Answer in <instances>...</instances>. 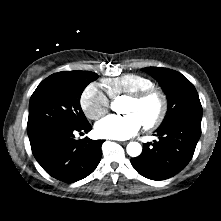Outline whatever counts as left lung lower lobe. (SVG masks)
Segmentation results:
<instances>
[{
	"label": "left lung lower lobe",
	"mask_w": 221,
	"mask_h": 221,
	"mask_svg": "<svg viewBox=\"0 0 221 221\" xmlns=\"http://www.w3.org/2000/svg\"><path fill=\"white\" fill-rule=\"evenodd\" d=\"M156 132L159 141L145 143L131 164L142 176L159 181L173 177L192 159L201 135V120L181 117Z\"/></svg>",
	"instance_id": "0a47b994"
}]
</instances>
